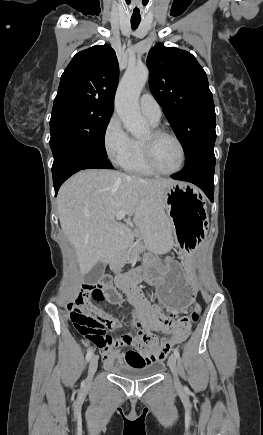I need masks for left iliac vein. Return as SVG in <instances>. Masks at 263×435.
<instances>
[{
	"instance_id": "1",
	"label": "left iliac vein",
	"mask_w": 263,
	"mask_h": 435,
	"mask_svg": "<svg viewBox=\"0 0 263 435\" xmlns=\"http://www.w3.org/2000/svg\"><path fill=\"white\" fill-rule=\"evenodd\" d=\"M168 365L173 373V377H174V382L177 386L180 385V381L178 378V374H177V358L175 355H171L168 359Z\"/></svg>"
}]
</instances>
